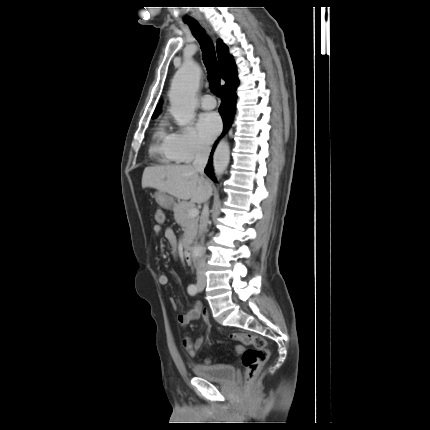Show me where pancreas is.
Returning a JSON list of instances; mask_svg holds the SVG:
<instances>
[{
    "label": "pancreas",
    "instance_id": "cf45deb5",
    "mask_svg": "<svg viewBox=\"0 0 430 430\" xmlns=\"http://www.w3.org/2000/svg\"><path fill=\"white\" fill-rule=\"evenodd\" d=\"M191 208L192 204L187 202H179L173 207L176 223L184 227L183 243L192 240L197 233L199 218L189 216L188 212Z\"/></svg>",
    "mask_w": 430,
    "mask_h": 430
}]
</instances>
